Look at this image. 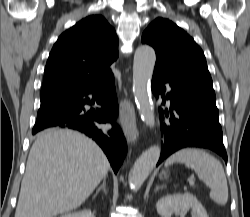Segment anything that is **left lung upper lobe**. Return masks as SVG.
Here are the masks:
<instances>
[{
  "label": "left lung upper lobe",
  "instance_id": "1",
  "mask_svg": "<svg viewBox=\"0 0 250 217\" xmlns=\"http://www.w3.org/2000/svg\"><path fill=\"white\" fill-rule=\"evenodd\" d=\"M142 43L156 51L154 72L171 79L212 84L202 49L172 21L155 19L144 31Z\"/></svg>",
  "mask_w": 250,
  "mask_h": 217
}]
</instances>
